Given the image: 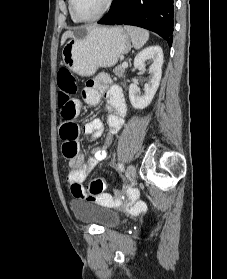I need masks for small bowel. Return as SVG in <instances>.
Segmentation results:
<instances>
[{
    "instance_id": "obj_1",
    "label": "small bowel",
    "mask_w": 227,
    "mask_h": 279,
    "mask_svg": "<svg viewBox=\"0 0 227 279\" xmlns=\"http://www.w3.org/2000/svg\"><path fill=\"white\" fill-rule=\"evenodd\" d=\"M103 95L108 99L107 108L109 110V114L106 118L108 130L105 134V143L108 144L112 141L114 134L121 129L123 125V117L125 116L127 109L121 88L114 84L106 76L89 80L82 91L83 101L90 106H98L102 100ZM75 102L78 113L80 111L81 105L77 100ZM68 124L76 125L71 121H69ZM83 131L91 141L95 142L104 135L105 125L102 120L93 119L84 125ZM106 156L107 153L105 150H98L94 152V154L85 162L83 161V157L79 154H76L72 159H70V170L66 175V182L71 187V189L73 184H76L81 190H83L84 188L81 183L95 168V166L106 158ZM128 208L132 211L137 210L140 212L145 209V204L139 200L131 201L128 204Z\"/></svg>"
}]
</instances>
